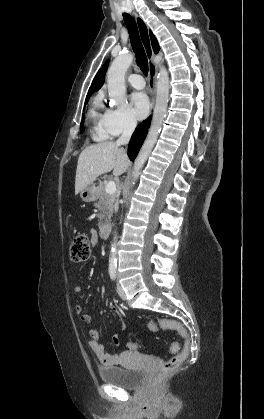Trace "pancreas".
I'll return each mask as SVG.
<instances>
[{"label": "pancreas", "instance_id": "pancreas-1", "mask_svg": "<svg viewBox=\"0 0 264 419\" xmlns=\"http://www.w3.org/2000/svg\"><path fill=\"white\" fill-rule=\"evenodd\" d=\"M98 190V202L96 203V207L100 210V214L98 215L99 218V226H103L105 223H108L113 215L114 204L118 194H108L106 192V183L101 181L97 188Z\"/></svg>", "mask_w": 264, "mask_h": 419}]
</instances>
